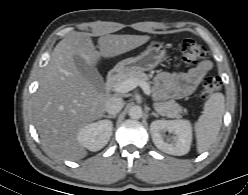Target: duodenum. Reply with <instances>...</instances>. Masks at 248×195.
I'll return each mask as SVG.
<instances>
[{
	"label": "duodenum",
	"instance_id": "obj_1",
	"mask_svg": "<svg viewBox=\"0 0 248 195\" xmlns=\"http://www.w3.org/2000/svg\"><path fill=\"white\" fill-rule=\"evenodd\" d=\"M119 75H120V71L118 70H113L107 75V78H106L107 88L112 87V85L115 83Z\"/></svg>",
	"mask_w": 248,
	"mask_h": 195
}]
</instances>
